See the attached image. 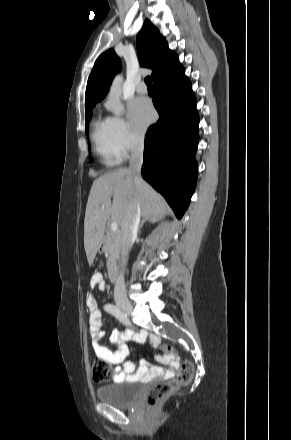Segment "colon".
Segmentation results:
<instances>
[{
	"instance_id": "obj_1",
	"label": "colon",
	"mask_w": 291,
	"mask_h": 440,
	"mask_svg": "<svg viewBox=\"0 0 291 440\" xmlns=\"http://www.w3.org/2000/svg\"><path fill=\"white\" fill-rule=\"evenodd\" d=\"M163 350L166 354H172L173 349L169 345H164ZM193 363L189 360H183L176 380L155 383L149 390L146 403L149 407H156L158 403L174 393L179 387L187 385L193 376ZM92 376L95 381L103 382L111 378V370L109 364L100 359L92 366Z\"/></svg>"
}]
</instances>
